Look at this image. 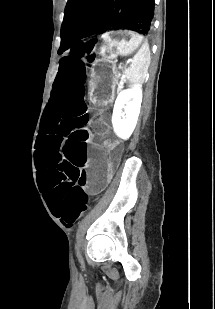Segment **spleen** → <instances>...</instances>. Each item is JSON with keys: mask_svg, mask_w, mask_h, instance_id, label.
<instances>
[{"mask_svg": "<svg viewBox=\"0 0 215 309\" xmlns=\"http://www.w3.org/2000/svg\"><path fill=\"white\" fill-rule=\"evenodd\" d=\"M149 64V44L148 42H143L141 48H139L138 52L134 54L130 66L125 70L126 78H128L129 82H132L134 86L143 84Z\"/></svg>", "mask_w": 215, "mask_h": 309, "instance_id": "3e777b00", "label": "spleen"}]
</instances>
